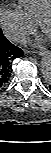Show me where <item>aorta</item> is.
<instances>
[{
	"instance_id": "762f6f07",
	"label": "aorta",
	"mask_w": 51,
	"mask_h": 153,
	"mask_svg": "<svg viewBox=\"0 0 51 153\" xmlns=\"http://www.w3.org/2000/svg\"><path fill=\"white\" fill-rule=\"evenodd\" d=\"M41 68L44 80L49 83L51 81V58L49 54L42 58Z\"/></svg>"
}]
</instances>
